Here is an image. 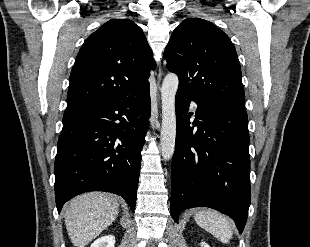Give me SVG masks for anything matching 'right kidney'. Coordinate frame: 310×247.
<instances>
[{
	"label": "right kidney",
	"mask_w": 310,
	"mask_h": 247,
	"mask_svg": "<svg viewBox=\"0 0 310 247\" xmlns=\"http://www.w3.org/2000/svg\"><path fill=\"white\" fill-rule=\"evenodd\" d=\"M115 237L113 235L102 236L96 239L90 247H114Z\"/></svg>",
	"instance_id": "right-kidney-1"
}]
</instances>
